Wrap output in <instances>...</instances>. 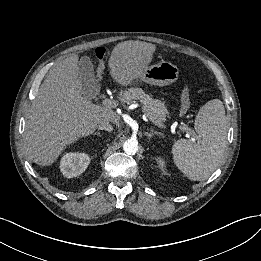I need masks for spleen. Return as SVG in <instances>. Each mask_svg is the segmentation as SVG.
Instances as JSON below:
<instances>
[{"mask_svg":"<svg viewBox=\"0 0 261 261\" xmlns=\"http://www.w3.org/2000/svg\"><path fill=\"white\" fill-rule=\"evenodd\" d=\"M195 130L197 143L179 139L172 146L175 165L190 180H206L217 169L227 144V121L222 101L213 99L199 110Z\"/></svg>","mask_w":261,"mask_h":261,"instance_id":"3e777b00","label":"spleen"}]
</instances>
